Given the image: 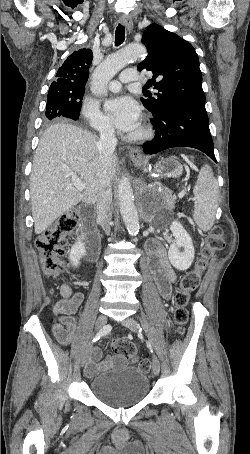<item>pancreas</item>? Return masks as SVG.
Returning a JSON list of instances; mask_svg holds the SVG:
<instances>
[{"mask_svg": "<svg viewBox=\"0 0 250 454\" xmlns=\"http://www.w3.org/2000/svg\"><path fill=\"white\" fill-rule=\"evenodd\" d=\"M174 201H175L174 197H173V196H169V197H168V200H167V205H168L170 208H172V207L174 206Z\"/></svg>", "mask_w": 250, "mask_h": 454, "instance_id": "pancreas-1", "label": "pancreas"}]
</instances>
